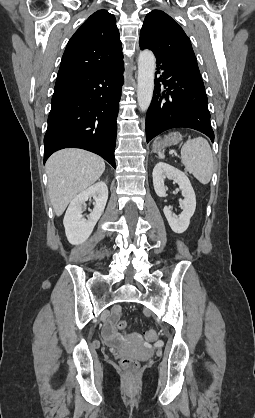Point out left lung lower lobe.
Instances as JSON below:
<instances>
[{
  "label": "left lung lower lobe",
  "instance_id": "1",
  "mask_svg": "<svg viewBox=\"0 0 255 418\" xmlns=\"http://www.w3.org/2000/svg\"><path fill=\"white\" fill-rule=\"evenodd\" d=\"M156 70L153 98L146 116L147 142L175 127L198 130L213 141L207 96L196 57H157Z\"/></svg>",
  "mask_w": 255,
  "mask_h": 418
}]
</instances>
